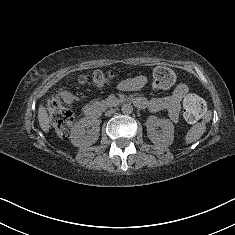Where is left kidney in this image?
Listing matches in <instances>:
<instances>
[{
    "label": "left kidney",
    "mask_w": 235,
    "mask_h": 235,
    "mask_svg": "<svg viewBox=\"0 0 235 235\" xmlns=\"http://www.w3.org/2000/svg\"><path fill=\"white\" fill-rule=\"evenodd\" d=\"M147 135L157 146L168 147L174 141V125L169 119L151 115L146 120Z\"/></svg>",
    "instance_id": "5707ae66"
}]
</instances>
